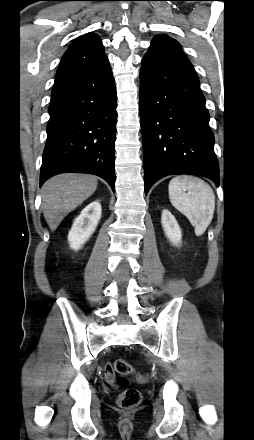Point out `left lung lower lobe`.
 Wrapping results in <instances>:
<instances>
[{"label": "left lung lower lobe", "instance_id": "0a47b994", "mask_svg": "<svg viewBox=\"0 0 254 440\" xmlns=\"http://www.w3.org/2000/svg\"><path fill=\"white\" fill-rule=\"evenodd\" d=\"M145 194L167 175L195 174L219 184L214 135L189 60L146 53L140 72Z\"/></svg>", "mask_w": 254, "mask_h": 440}]
</instances>
